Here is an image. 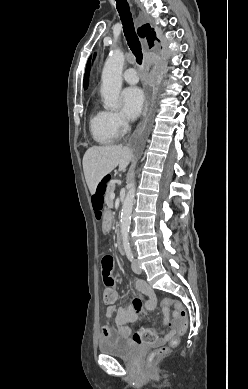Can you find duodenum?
Listing matches in <instances>:
<instances>
[{
    "label": "duodenum",
    "instance_id": "obj_1",
    "mask_svg": "<svg viewBox=\"0 0 248 389\" xmlns=\"http://www.w3.org/2000/svg\"><path fill=\"white\" fill-rule=\"evenodd\" d=\"M117 249H118L119 253H121V254L124 251L120 236L117 237Z\"/></svg>",
    "mask_w": 248,
    "mask_h": 389
}]
</instances>
